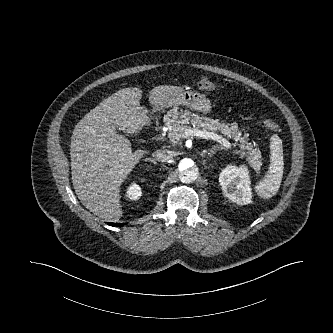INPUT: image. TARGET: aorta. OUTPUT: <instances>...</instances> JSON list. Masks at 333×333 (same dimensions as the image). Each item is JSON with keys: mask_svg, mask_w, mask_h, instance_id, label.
<instances>
[{"mask_svg": "<svg viewBox=\"0 0 333 333\" xmlns=\"http://www.w3.org/2000/svg\"><path fill=\"white\" fill-rule=\"evenodd\" d=\"M176 170L184 183H192L199 176V169L196 163L188 157L179 158L176 161Z\"/></svg>", "mask_w": 333, "mask_h": 333, "instance_id": "1", "label": "aorta"}]
</instances>
